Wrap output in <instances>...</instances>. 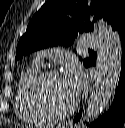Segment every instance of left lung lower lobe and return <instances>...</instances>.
Wrapping results in <instances>:
<instances>
[{"label": "left lung lower lobe", "instance_id": "left-lung-lower-lobe-1", "mask_svg": "<svg viewBox=\"0 0 125 128\" xmlns=\"http://www.w3.org/2000/svg\"><path fill=\"white\" fill-rule=\"evenodd\" d=\"M117 33L121 42V72L118 87L111 107L104 112L96 121L89 124L92 128H123L125 122V23L119 27ZM95 60L91 61L87 67L94 66ZM82 110L74 117V122L80 120ZM88 125V124H87Z\"/></svg>", "mask_w": 125, "mask_h": 128}]
</instances>
